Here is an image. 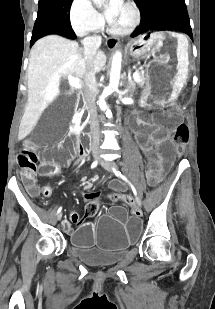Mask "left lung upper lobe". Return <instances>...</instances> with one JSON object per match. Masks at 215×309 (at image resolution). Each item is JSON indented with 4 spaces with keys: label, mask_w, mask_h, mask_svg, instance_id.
<instances>
[{
    "label": "left lung upper lobe",
    "mask_w": 215,
    "mask_h": 309,
    "mask_svg": "<svg viewBox=\"0 0 215 309\" xmlns=\"http://www.w3.org/2000/svg\"><path fill=\"white\" fill-rule=\"evenodd\" d=\"M141 12V24L133 37L150 30H174L186 33L192 40V30L184 0H135Z\"/></svg>",
    "instance_id": "1"
}]
</instances>
